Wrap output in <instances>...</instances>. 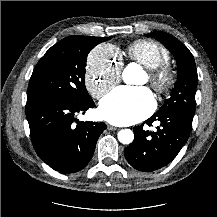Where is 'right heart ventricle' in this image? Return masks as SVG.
<instances>
[{
    "mask_svg": "<svg viewBox=\"0 0 217 217\" xmlns=\"http://www.w3.org/2000/svg\"><path fill=\"white\" fill-rule=\"evenodd\" d=\"M128 57L147 69H154L170 59L168 50L160 43L141 39L131 43L126 50Z\"/></svg>",
    "mask_w": 217,
    "mask_h": 217,
    "instance_id": "e07e8e85",
    "label": "right heart ventricle"
}]
</instances>
